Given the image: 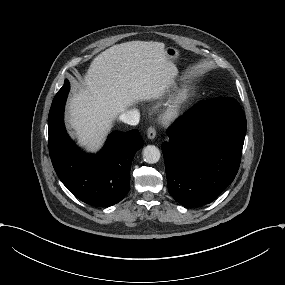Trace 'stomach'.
Listing matches in <instances>:
<instances>
[{
	"instance_id": "0dacf381",
	"label": "stomach",
	"mask_w": 285,
	"mask_h": 285,
	"mask_svg": "<svg viewBox=\"0 0 285 285\" xmlns=\"http://www.w3.org/2000/svg\"><path fill=\"white\" fill-rule=\"evenodd\" d=\"M166 54L170 58H175L177 56L176 50L172 48L167 49Z\"/></svg>"
}]
</instances>
